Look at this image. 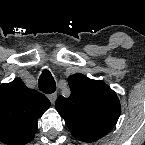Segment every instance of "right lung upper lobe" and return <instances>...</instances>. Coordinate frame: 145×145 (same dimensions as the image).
Returning <instances> with one entry per match:
<instances>
[{
  "label": "right lung upper lobe",
  "mask_w": 145,
  "mask_h": 145,
  "mask_svg": "<svg viewBox=\"0 0 145 145\" xmlns=\"http://www.w3.org/2000/svg\"><path fill=\"white\" fill-rule=\"evenodd\" d=\"M43 94L25 86L20 78L0 86V141L8 145L30 142L38 127V118L49 108Z\"/></svg>",
  "instance_id": "cb5924a9"
}]
</instances>
